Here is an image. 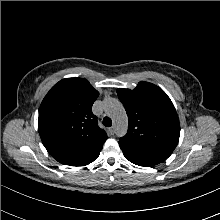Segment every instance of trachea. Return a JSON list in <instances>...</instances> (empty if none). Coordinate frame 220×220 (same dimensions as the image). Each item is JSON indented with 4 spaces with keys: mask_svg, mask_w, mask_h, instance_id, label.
Instances as JSON below:
<instances>
[{
    "mask_svg": "<svg viewBox=\"0 0 220 220\" xmlns=\"http://www.w3.org/2000/svg\"><path fill=\"white\" fill-rule=\"evenodd\" d=\"M103 125L105 127H111L112 125V120L109 117H104L103 119Z\"/></svg>",
    "mask_w": 220,
    "mask_h": 220,
    "instance_id": "obj_1",
    "label": "trachea"
}]
</instances>
